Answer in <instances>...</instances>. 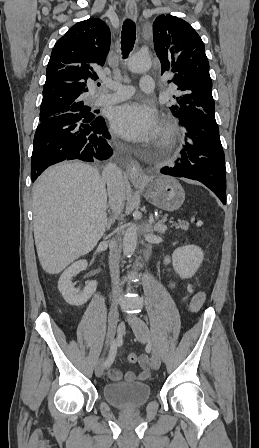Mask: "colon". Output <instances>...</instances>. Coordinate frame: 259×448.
<instances>
[{
	"label": "colon",
	"instance_id": "obj_1",
	"mask_svg": "<svg viewBox=\"0 0 259 448\" xmlns=\"http://www.w3.org/2000/svg\"><path fill=\"white\" fill-rule=\"evenodd\" d=\"M195 221H196L197 224L200 223V220H198V219H196ZM189 292H190V293L192 292V288L189 289ZM128 360H129L131 363H136L137 361H139V357H138L135 353H131V354H129V356H128Z\"/></svg>",
	"mask_w": 259,
	"mask_h": 448
}]
</instances>
